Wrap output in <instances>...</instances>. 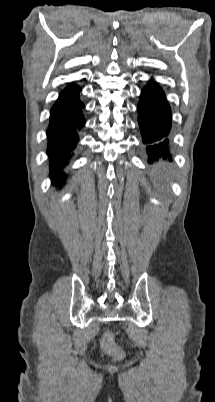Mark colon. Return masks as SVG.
<instances>
[{
  "instance_id": "1",
  "label": "colon",
  "mask_w": 215,
  "mask_h": 402,
  "mask_svg": "<svg viewBox=\"0 0 215 402\" xmlns=\"http://www.w3.org/2000/svg\"><path fill=\"white\" fill-rule=\"evenodd\" d=\"M102 348L110 355L121 357L123 352L121 348L115 343L112 332L106 331L101 337Z\"/></svg>"
}]
</instances>
